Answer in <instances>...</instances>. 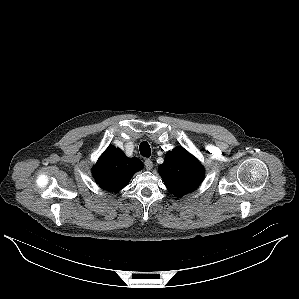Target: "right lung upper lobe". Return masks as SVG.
<instances>
[{"label": "right lung upper lobe", "instance_id": "right-lung-upper-lobe-1", "mask_svg": "<svg viewBox=\"0 0 299 299\" xmlns=\"http://www.w3.org/2000/svg\"><path fill=\"white\" fill-rule=\"evenodd\" d=\"M143 168L138 158H128L114 146L108 147L93 168L95 181L104 190L118 192L124 188L132 176Z\"/></svg>", "mask_w": 299, "mask_h": 299}]
</instances>
